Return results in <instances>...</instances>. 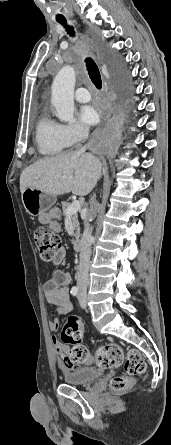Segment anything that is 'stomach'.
I'll return each mask as SVG.
<instances>
[{"mask_svg": "<svg viewBox=\"0 0 171 445\" xmlns=\"http://www.w3.org/2000/svg\"><path fill=\"white\" fill-rule=\"evenodd\" d=\"M22 202L28 214L38 216L51 210L56 202V196L29 187L22 192ZM51 217L54 219L59 218L57 209L54 210Z\"/></svg>", "mask_w": 171, "mask_h": 445, "instance_id": "obj_1", "label": "stomach"}]
</instances>
